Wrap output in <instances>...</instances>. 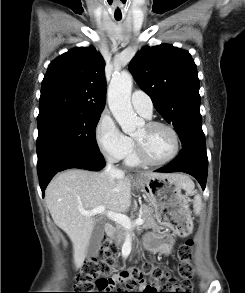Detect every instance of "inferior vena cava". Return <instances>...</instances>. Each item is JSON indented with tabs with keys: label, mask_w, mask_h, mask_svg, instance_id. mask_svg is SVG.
<instances>
[{
	"label": "inferior vena cava",
	"mask_w": 245,
	"mask_h": 293,
	"mask_svg": "<svg viewBox=\"0 0 245 293\" xmlns=\"http://www.w3.org/2000/svg\"><path fill=\"white\" fill-rule=\"evenodd\" d=\"M105 172H107L109 177L113 179L115 176L121 173V170L117 169L113 164L108 163Z\"/></svg>",
	"instance_id": "1"
}]
</instances>
